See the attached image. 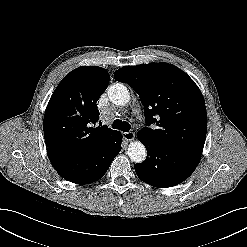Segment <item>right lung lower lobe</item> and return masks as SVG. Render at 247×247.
I'll return each instance as SVG.
<instances>
[{
  "label": "right lung lower lobe",
  "mask_w": 247,
  "mask_h": 247,
  "mask_svg": "<svg viewBox=\"0 0 247 247\" xmlns=\"http://www.w3.org/2000/svg\"><path fill=\"white\" fill-rule=\"evenodd\" d=\"M122 135L117 132L94 152L72 156L48 149L47 154L59 175L76 184H89L102 178L121 150Z\"/></svg>",
  "instance_id": "98d812e1"
}]
</instances>
